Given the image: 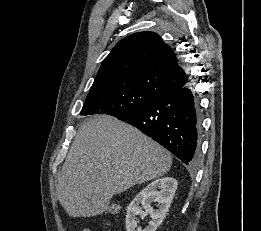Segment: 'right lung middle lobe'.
Wrapping results in <instances>:
<instances>
[{"label": "right lung middle lobe", "instance_id": "dd1d6c3e", "mask_svg": "<svg viewBox=\"0 0 261 231\" xmlns=\"http://www.w3.org/2000/svg\"><path fill=\"white\" fill-rule=\"evenodd\" d=\"M158 97L136 86L90 92L80 115L109 114L121 117L150 104Z\"/></svg>", "mask_w": 261, "mask_h": 231}]
</instances>
